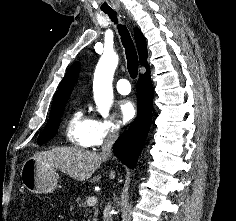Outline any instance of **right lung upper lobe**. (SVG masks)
Wrapping results in <instances>:
<instances>
[{
	"label": "right lung upper lobe",
	"instance_id": "obj_1",
	"mask_svg": "<svg viewBox=\"0 0 236 221\" xmlns=\"http://www.w3.org/2000/svg\"><path fill=\"white\" fill-rule=\"evenodd\" d=\"M134 37H135V42L137 45L138 53H139V58H140V64L143 65L147 70H149V65L147 63V48H146V40L141 33L139 29H135L134 31ZM80 63H74L66 72V75L64 76L60 87L58 91L56 92V95L54 96L53 99V105L57 106L59 104L65 103L68 101L74 84L76 82V79L78 77L79 71H80Z\"/></svg>",
	"mask_w": 236,
	"mask_h": 221
}]
</instances>
